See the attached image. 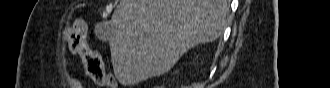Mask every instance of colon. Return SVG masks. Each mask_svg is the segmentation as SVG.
Returning a JSON list of instances; mask_svg holds the SVG:
<instances>
[{"instance_id":"obj_1","label":"colon","mask_w":330,"mask_h":88,"mask_svg":"<svg viewBox=\"0 0 330 88\" xmlns=\"http://www.w3.org/2000/svg\"><path fill=\"white\" fill-rule=\"evenodd\" d=\"M64 38L73 53L81 54L86 74L97 84L115 88L117 82L106 69L101 55L87 46L83 29L79 23L65 28Z\"/></svg>"}]
</instances>
